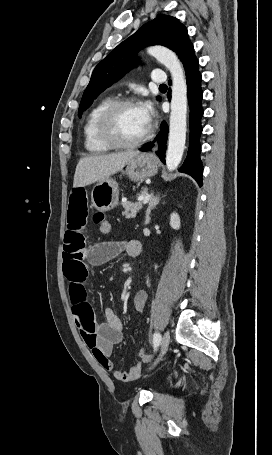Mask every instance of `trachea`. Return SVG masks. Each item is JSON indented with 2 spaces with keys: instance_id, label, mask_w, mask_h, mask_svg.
<instances>
[{
  "instance_id": "3493384b",
  "label": "trachea",
  "mask_w": 272,
  "mask_h": 455,
  "mask_svg": "<svg viewBox=\"0 0 272 455\" xmlns=\"http://www.w3.org/2000/svg\"><path fill=\"white\" fill-rule=\"evenodd\" d=\"M165 87H167V85H165V84L160 85V88H165Z\"/></svg>"
}]
</instances>
